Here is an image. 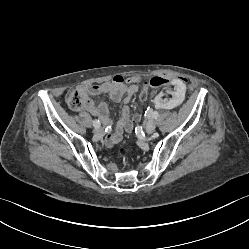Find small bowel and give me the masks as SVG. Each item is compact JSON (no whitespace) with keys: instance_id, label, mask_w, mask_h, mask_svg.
I'll use <instances>...</instances> for the list:
<instances>
[{"instance_id":"1","label":"small bowel","mask_w":249,"mask_h":249,"mask_svg":"<svg viewBox=\"0 0 249 249\" xmlns=\"http://www.w3.org/2000/svg\"><path fill=\"white\" fill-rule=\"evenodd\" d=\"M125 82L130 83V85L127 86ZM78 90L86 98L84 109L92 115L97 116L105 126H109L111 123L106 104L103 102L95 103L89 98V96L106 94L114 102H124L125 105L121 109V118L117 124L115 132L108 135L105 139L106 144L112 145L120 139L124 131L132 129V123L134 121L136 122L140 120L139 115L131 117L128 103L132 96L139 90H141V93L148 92V85L138 78H129L125 80L122 76L116 75L110 81L101 84L80 86L78 87Z\"/></svg>"}]
</instances>
